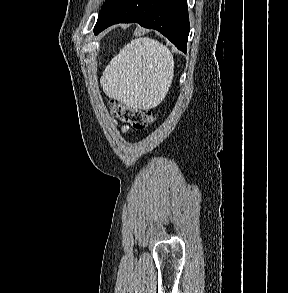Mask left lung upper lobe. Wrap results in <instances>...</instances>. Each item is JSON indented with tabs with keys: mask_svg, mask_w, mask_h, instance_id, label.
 Masks as SVG:
<instances>
[{
	"mask_svg": "<svg viewBox=\"0 0 288 293\" xmlns=\"http://www.w3.org/2000/svg\"><path fill=\"white\" fill-rule=\"evenodd\" d=\"M119 2L120 0H106L99 12L98 21L102 20Z\"/></svg>",
	"mask_w": 288,
	"mask_h": 293,
	"instance_id": "obj_1",
	"label": "left lung upper lobe"
}]
</instances>
